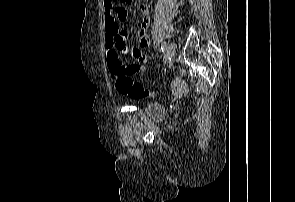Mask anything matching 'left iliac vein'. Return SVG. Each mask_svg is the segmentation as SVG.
Wrapping results in <instances>:
<instances>
[{
	"mask_svg": "<svg viewBox=\"0 0 295 202\" xmlns=\"http://www.w3.org/2000/svg\"><path fill=\"white\" fill-rule=\"evenodd\" d=\"M175 51H176V47L174 43H169L167 45V55L170 61H173L174 57H175Z\"/></svg>",
	"mask_w": 295,
	"mask_h": 202,
	"instance_id": "obj_1",
	"label": "left iliac vein"
}]
</instances>
